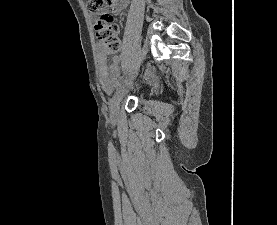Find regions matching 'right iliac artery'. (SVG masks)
Wrapping results in <instances>:
<instances>
[{"mask_svg":"<svg viewBox=\"0 0 277 225\" xmlns=\"http://www.w3.org/2000/svg\"><path fill=\"white\" fill-rule=\"evenodd\" d=\"M132 77H133V72L129 75V77L125 78L120 82V84L118 85V89L124 88L129 83V81H131Z\"/></svg>","mask_w":277,"mask_h":225,"instance_id":"1","label":"right iliac artery"}]
</instances>
